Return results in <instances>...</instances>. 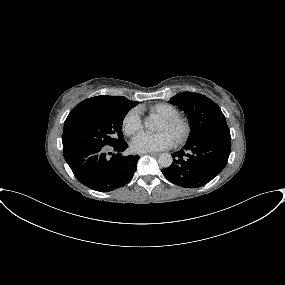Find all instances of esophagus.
Instances as JSON below:
<instances>
[{
  "label": "esophagus",
  "mask_w": 285,
  "mask_h": 285,
  "mask_svg": "<svg viewBox=\"0 0 285 285\" xmlns=\"http://www.w3.org/2000/svg\"><path fill=\"white\" fill-rule=\"evenodd\" d=\"M149 154L152 155V156H158L160 153H158V152H150Z\"/></svg>",
  "instance_id": "1"
}]
</instances>
